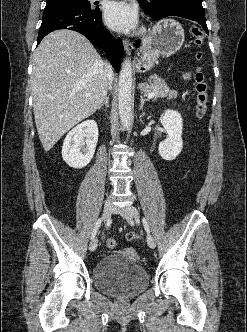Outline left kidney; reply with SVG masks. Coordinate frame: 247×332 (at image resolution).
<instances>
[{
    "label": "left kidney",
    "instance_id": "left-kidney-1",
    "mask_svg": "<svg viewBox=\"0 0 247 332\" xmlns=\"http://www.w3.org/2000/svg\"><path fill=\"white\" fill-rule=\"evenodd\" d=\"M161 123L167 133V139L160 142L159 155L167 161L174 160L183 148V123L180 113L174 110H165Z\"/></svg>",
    "mask_w": 247,
    "mask_h": 332
}]
</instances>
